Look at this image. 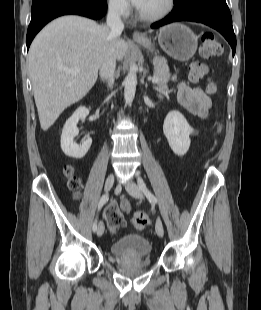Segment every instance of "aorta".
<instances>
[{
    "instance_id": "aorta-1",
    "label": "aorta",
    "mask_w": 261,
    "mask_h": 310,
    "mask_svg": "<svg viewBox=\"0 0 261 310\" xmlns=\"http://www.w3.org/2000/svg\"><path fill=\"white\" fill-rule=\"evenodd\" d=\"M137 67L132 65L124 80V99L125 103L130 105L135 97L136 85H137Z\"/></svg>"
}]
</instances>
